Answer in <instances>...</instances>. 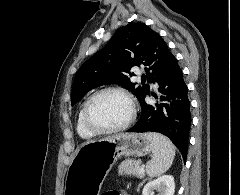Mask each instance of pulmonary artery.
<instances>
[{
	"instance_id": "obj_1",
	"label": "pulmonary artery",
	"mask_w": 240,
	"mask_h": 195,
	"mask_svg": "<svg viewBox=\"0 0 240 195\" xmlns=\"http://www.w3.org/2000/svg\"><path fill=\"white\" fill-rule=\"evenodd\" d=\"M135 75H136V76H139V75H140V72H139V71H136V72H135Z\"/></svg>"
}]
</instances>
